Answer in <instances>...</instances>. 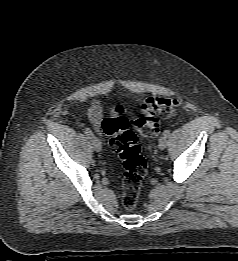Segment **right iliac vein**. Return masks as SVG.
Masks as SVG:
<instances>
[{
  "mask_svg": "<svg viewBox=\"0 0 238 261\" xmlns=\"http://www.w3.org/2000/svg\"><path fill=\"white\" fill-rule=\"evenodd\" d=\"M90 139L94 150L97 152L101 151V143L99 139L95 136H92Z\"/></svg>",
  "mask_w": 238,
  "mask_h": 261,
  "instance_id": "right-iliac-vein-1",
  "label": "right iliac vein"
}]
</instances>
